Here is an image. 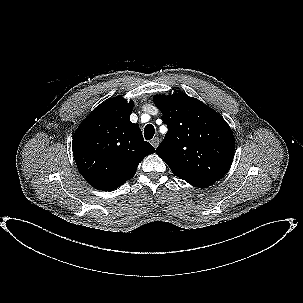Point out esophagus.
<instances>
[{
  "label": "esophagus",
  "instance_id": "34e87169",
  "mask_svg": "<svg viewBox=\"0 0 303 303\" xmlns=\"http://www.w3.org/2000/svg\"><path fill=\"white\" fill-rule=\"evenodd\" d=\"M159 138L158 137H154L152 140H151V144L154 148H157V146L159 145Z\"/></svg>",
  "mask_w": 303,
  "mask_h": 303
}]
</instances>
